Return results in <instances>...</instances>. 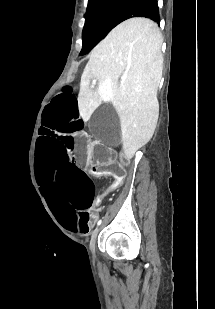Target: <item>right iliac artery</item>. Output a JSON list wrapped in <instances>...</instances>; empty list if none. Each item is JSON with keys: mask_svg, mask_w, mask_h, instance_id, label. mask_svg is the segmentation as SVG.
Returning <instances> with one entry per match:
<instances>
[{"mask_svg": "<svg viewBox=\"0 0 215 309\" xmlns=\"http://www.w3.org/2000/svg\"><path fill=\"white\" fill-rule=\"evenodd\" d=\"M101 222H102V221H101V220H99V221H98V223H97V225H100V224H101Z\"/></svg>", "mask_w": 215, "mask_h": 309, "instance_id": "right-iliac-artery-1", "label": "right iliac artery"}]
</instances>
